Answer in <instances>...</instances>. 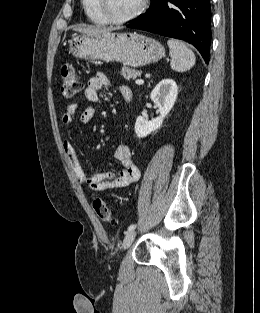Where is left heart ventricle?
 Returning <instances> with one entry per match:
<instances>
[{
  "label": "left heart ventricle",
  "mask_w": 260,
  "mask_h": 313,
  "mask_svg": "<svg viewBox=\"0 0 260 313\" xmlns=\"http://www.w3.org/2000/svg\"><path fill=\"white\" fill-rule=\"evenodd\" d=\"M140 0H106L107 12L115 17L121 18L132 13L138 6Z\"/></svg>",
  "instance_id": "1"
}]
</instances>
